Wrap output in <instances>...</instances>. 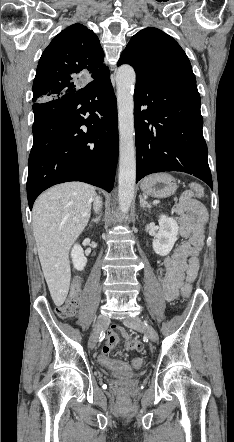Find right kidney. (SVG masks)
<instances>
[{"mask_svg": "<svg viewBox=\"0 0 234 442\" xmlns=\"http://www.w3.org/2000/svg\"><path fill=\"white\" fill-rule=\"evenodd\" d=\"M72 263L74 268L82 271L87 263V258L84 256L83 248L79 244H75L71 251Z\"/></svg>", "mask_w": 234, "mask_h": 442, "instance_id": "right-kidney-1", "label": "right kidney"}]
</instances>
